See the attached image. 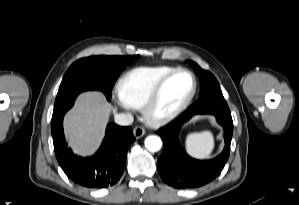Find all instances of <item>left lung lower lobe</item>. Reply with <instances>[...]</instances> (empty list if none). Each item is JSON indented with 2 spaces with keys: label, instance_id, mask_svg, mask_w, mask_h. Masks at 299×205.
I'll list each match as a JSON object with an SVG mask.
<instances>
[{
  "label": "left lung lower lobe",
  "instance_id": "obj_1",
  "mask_svg": "<svg viewBox=\"0 0 299 205\" xmlns=\"http://www.w3.org/2000/svg\"><path fill=\"white\" fill-rule=\"evenodd\" d=\"M195 114H212L224 128L225 147L214 159H193L180 146L178 131L181 125ZM159 133L164 142V151L158 159V171L163 181L174 188H197L211 182L224 168L230 153L233 121L227 104L199 109L191 106L173 122L161 128Z\"/></svg>",
  "mask_w": 299,
  "mask_h": 205
}]
</instances>
